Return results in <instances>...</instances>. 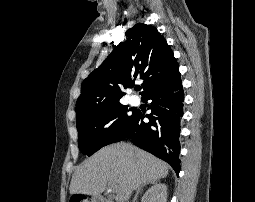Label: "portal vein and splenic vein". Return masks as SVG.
Wrapping results in <instances>:
<instances>
[{
	"instance_id": "1",
	"label": "portal vein and splenic vein",
	"mask_w": 255,
	"mask_h": 202,
	"mask_svg": "<svg viewBox=\"0 0 255 202\" xmlns=\"http://www.w3.org/2000/svg\"><path fill=\"white\" fill-rule=\"evenodd\" d=\"M111 189L115 192V187L112 185Z\"/></svg>"
}]
</instances>
